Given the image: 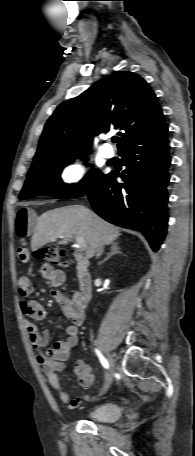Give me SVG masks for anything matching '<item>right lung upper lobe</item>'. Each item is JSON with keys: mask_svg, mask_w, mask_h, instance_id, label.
Masks as SVG:
<instances>
[{"mask_svg": "<svg viewBox=\"0 0 195 456\" xmlns=\"http://www.w3.org/2000/svg\"><path fill=\"white\" fill-rule=\"evenodd\" d=\"M120 129V151L139 139L168 133L157 97L148 83L131 72H117L78 97L61 103L47 121L33 165L87 153L92 138ZM76 146L78 147L76 149Z\"/></svg>", "mask_w": 195, "mask_h": 456, "instance_id": "right-lung-upper-lobe-1", "label": "right lung upper lobe"}]
</instances>
